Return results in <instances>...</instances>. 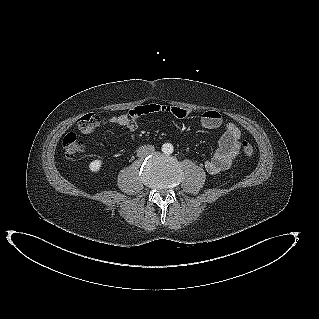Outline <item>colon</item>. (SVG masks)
I'll use <instances>...</instances> for the list:
<instances>
[{"mask_svg": "<svg viewBox=\"0 0 319 319\" xmlns=\"http://www.w3.org/2000/svg\"><path fill=\"white\" fill-rule=\"evenodd\" d=\"M93 114H86L78 120V125L89 123L93 120ZM64 155L67 159H74L80 155L84 149L85 144L80 140L75 133H68L65 135L62 141ZM241 149L243 154L248 158H253L255 155V148L247 141L241 143Z\"/></svg>", "mask_w": 319, "mask_h": 319, "instance_id": "1", "label": "colon"}]
</instances>
